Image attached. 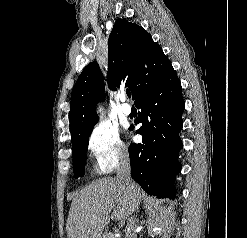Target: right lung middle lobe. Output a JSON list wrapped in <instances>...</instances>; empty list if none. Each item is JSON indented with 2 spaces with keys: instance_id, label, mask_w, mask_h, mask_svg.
<instances>
[{
  "instance_id": "obj_1",
  "label": "right lung middle lobe",
  "mask_w": 247,
  "mask_h": 238,
  "mask_svg": "<svg viewBox=\"0 0 247 238\" xmlns=\"http://www.w3.org/2000/svg\"><path fill=\"white\" fill-rule=\"evenodd\" d=\"M92 130L89 131L85 136L80 138L75 144L72 145L73 149V172L76 178L83 176L85 161H86V152L89 142V135Z\"/></svg>"
}]
</instances>
